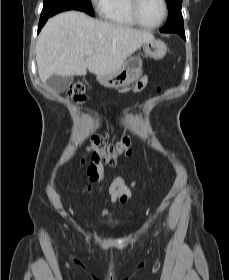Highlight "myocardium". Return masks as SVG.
<instances>
[{
    "label": "myocardium",
    "instance_id": "obj_1",
    "mask_svg": "<svg viewBox=\"0 0 229 280\" xmlns=\"http://www.w3.org/2000/svg\"><path fill=\"white\" fill-rule=\"evenodd\" d=\"M141 0H129V11L131 14V17L133 18L134 22L143 28L147 29H155L160 27L166 20L168 15V5L166 0H161L162 7H163V14L160 19V21L156 24H147L143 22L139 15V6H140Z\"/></svg>",
    "mask_w": 229,
    "mask_h": 280
}]
</instances>
